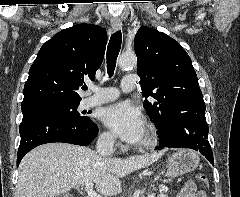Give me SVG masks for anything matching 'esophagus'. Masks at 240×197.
<instances>
[{"label": "esophagus", "mask_w": 240, "mask_h": 197, "mask_svg": "<svg viewBox=\"0 0 240 197\" xmlns=\"http://www.w3.org/2000/svg\"><path fill=\"white\" fill-rule=\"evenodd\" d=\"M111 26L114 30H119L122 27V21L119 17H112Z\"/></svg>", "instance_id": "esophagus-1"}]
</instances>
